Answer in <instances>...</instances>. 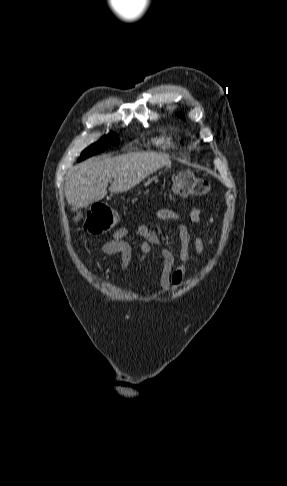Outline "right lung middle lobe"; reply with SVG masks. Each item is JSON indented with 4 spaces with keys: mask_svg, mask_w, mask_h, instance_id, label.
Here are the masks:
<instances>
[{
    "mask_svg": "<svg viewBox=\"0 0 287 486\" xmlns=\"http://www.w3.org/2000/svg\"><path fill=\"white\" fill-rule=\"evenodd\" d=\"M119 143V138L116 134L111 133L107 136H104L102 139H100L98 142L92 144L89 146L87 149H85L78 161H82L90 156H93L95 154H98L104 150H106L111 144L112 145H117Z\"/></svg>",
    "mask_w": 287,
    "mask_h": 486,
    "instance_id": "right-lung-middle-lobe-1",
    "label": "right lung middle lobe"
}]
</instances>
